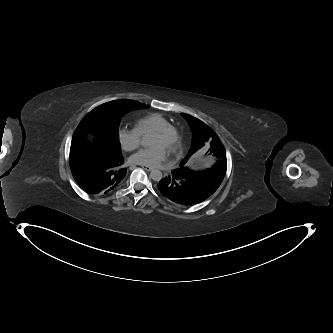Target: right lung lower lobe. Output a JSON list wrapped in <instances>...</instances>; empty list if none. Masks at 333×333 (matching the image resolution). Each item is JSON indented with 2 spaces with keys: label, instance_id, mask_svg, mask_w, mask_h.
<instances>
[{
  "label": "right lung lower lobe",
  "instance_id": "right-lung-lower-lobe-1",
  "mask_svg": "<svg viewBox=\"0 0 333 333\" xmlns=\"http://www.w3.org/2000/svg\"><path fill=\"white\" fill-rule=\"evenodd\" d=\"M122 155H113L98 145L84 141L71 143L70 167L76 182L89 194L103 195L114 191L127 170Z\"/></svg>",
  "mask_w": 333,
  "mask_h": 333
}]
</instances>
